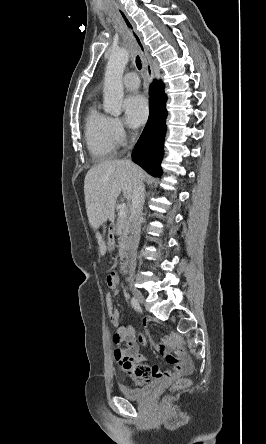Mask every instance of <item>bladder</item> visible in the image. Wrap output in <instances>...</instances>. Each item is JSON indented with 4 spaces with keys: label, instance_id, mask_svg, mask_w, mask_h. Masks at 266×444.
I'll list each match as a JSON object with an SVG mask.
<instances>
[{
    "label": "bladder",
    "instance_id": "bladder-1",
    "mask_svg": "<svg viewBox=\"0 0 266 444\" xmlns=\"http://www.w3.org/2000/svg\"><path fill=\"white\" fill-rule=\"evenodd\" d=\"M158 384L159 382L157 380H153L141 388L133 389L129 387H121L120 391L122 395L129 400L141 401L148 395L152 394Z\"/></svg>",
    "mask_w": 266,
    "mask_h": 444
}]
</instances>
